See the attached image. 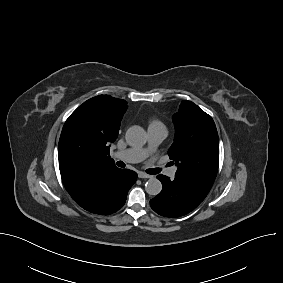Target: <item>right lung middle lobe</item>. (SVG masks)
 Masks as SVG:
<instances>
[{
    "label": "right lung middle lobe",
    "mask_w": 283,
    "mask_h": 283,
    "mask_svg": "<svg viewBox=\"0 0 283 283\" xmlns=\"http://www.w3.org/2000/svg\"><path fill=\"white\" fill-rule=\"evenodd\" d=\"M59 143L76 152L88 151L101 145L89 128L87 119L78 110L66 120Z\"/></svg>",
    "instance_id": "obj_1"
}]
</instances>
